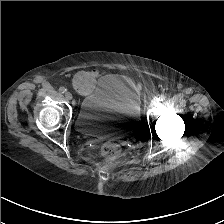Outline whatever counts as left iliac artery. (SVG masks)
Masks as SVG:
<instances>
[{"label": "left iliac artery", "mask_w": 224, "mask_h": 224, "mask_svg": "<svg viewBox=\"0 0 224 224\" xmlns=\"http://www.w3.org/2000/svg\"><path fill=\"white\" fill-rule=\"evenodd\" d=\"M166 99V96L164 94L159 95L158 101H164Z\"/></svg>", "instance_id": "obj_1"}]
</instances>
